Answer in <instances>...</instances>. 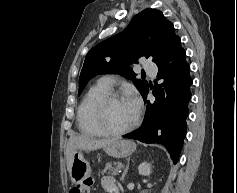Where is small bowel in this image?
I'll return each instance as SVG.
<instances>
[{
  "label": "small bowel",
  "mask_w": 237,
  "mask_h": 193,
  "mask_svg": "<svg viewBox=\"0 0 237 193\" xmlns=\"http://www.w3.org/2000/svg\"><path fill=\"white\" fill-rule=\"evenodd\" d=\"M102 186L108 193H119L115 181L109 176L102 178Z\"/></svg>",
  "instance_id": "1"
}]
</instances>
